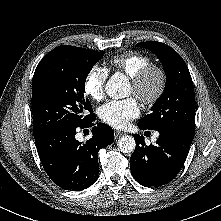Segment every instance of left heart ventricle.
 <instances>
[{
  "instance_id": "left-heart-ventricle-1",
  "label": "left heart ventricle",
  "mask_w": 221,
  "mask_h": 221,
  "mask_svg": "<svg viewBox=\"0 0 221 221\" xmlns=\"http://www.w3.org/2000/svg\"><path fill=\"white\" fill-rule=\"evenodd\" d=\"M131 92H133V87L131 86Z\"/></svg>"
}]
</instances>
